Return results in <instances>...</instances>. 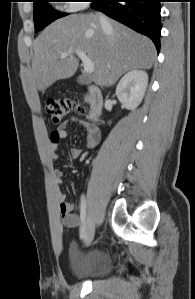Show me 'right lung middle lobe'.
Listing matches in <instances>:
<instances>
[{"instance_id":"dd1d6c3e","label":"right lung middle lobe","mask_w":195,"mask_h":299,"mask_svg":"<svg viewBox=\"0 0 195 299\" xmlns=\"http://www.w3.org/2000/svg\"><path fill=\"white\" fill-rule=\"evenodd\" d=\"M48 1L49 0H33V18L36 32L42 30L44 27H46L56 19L67 15L65 13H60L52 9L49 6Z\"/></svg>"}]
</instances>
